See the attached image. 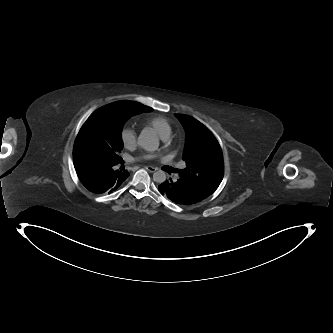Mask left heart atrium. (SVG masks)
<instances>
[{
    "mask_svg": "<svg viewBox=\"0 0 333 333\" xmlns=\"http://www.w3.org/2000/svg\"><path fill=\"white\" fill-rule=\"evenodd\" d=\"M153 157L152 154L149 153H142L140 154V156L138 157L139 160H148L151 159Z\"/></svg>",
    "mask_w": 333,
    "mask_h": 333,
    "instance_id": "1",
    "label": "left heart atrium"
}]
</instances>
